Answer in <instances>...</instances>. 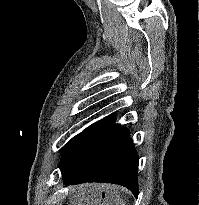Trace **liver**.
<instances>
[{
    "label": "liver",
    "mask_w": 199,
    "mask_h": 205,
    "mask_svg": "<svg viewBox=\"0 0 199 205\" xmlns=\"http://www.w3.org/2000/svg\"><path fill=\"white\" fill-rule=\"evenodd\" d=\"M111 190L114 191V194H115V197H116V200H117V204H122V200L119 199L118 193L115 192V187H112ZM82 194H84V192H82ZM87 200H88V201L91 200V205H97L98 201H100V199L95 200V199L93 198V194H92L91 196H88Z\"/></svg>",
    "instance_id": "6515ba94"
}]
</instances>
